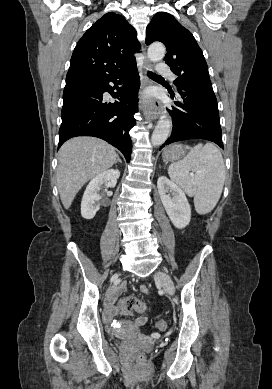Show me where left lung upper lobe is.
<instances>
[{"label":"left lung upper lobe","mask_w":272,"mask_h":389,"mask_svg":"<svg viewBox=\"0 0 272 389\" xmlns=\"http://www.w3.org/2000/svg\"><path fill=\"white\" fill-rule=\"evenodd\" d=\"M161 41L167 48L165 62L183 81L210 80L207 63L194 36L169 13H157L146 29V44Z\"/></svg>","instance_id":"left-lung-upper-lobe-1"}]
</instances>
